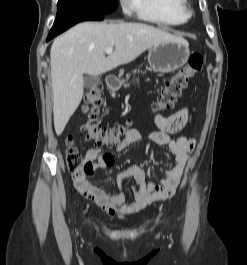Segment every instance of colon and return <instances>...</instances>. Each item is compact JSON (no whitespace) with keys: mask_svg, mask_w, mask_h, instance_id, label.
<instances>
[{"mask_svg":"<svg viewBox=\"0 0 247 265\" xmlns=\"http://www.w3.org/2000/svg\"><path fill=\"white\" fill-rule=\"evenodd\" d=\"M203 65V57L200 54H192L186 66L177 71L165 84L154 104L156 111H166L174 107L178 97L187 87L189 79L197 72H200ZM102 104V94L98 87H93L87 91L85 96L84 120L81 126L83 132L82 141H91L99 147H114L122 144L128 133L132 130L127 125L107 128L102 126L98 111ZM72 145V138H68ZM68 170L71 173L83 170L88 173L91 167L84 164L83 158L76 148H71L66 157Z\"/></svg>","mask_w":247,"mask_h":265,"instance_id":"1","label":"colon"}]
</instances>
